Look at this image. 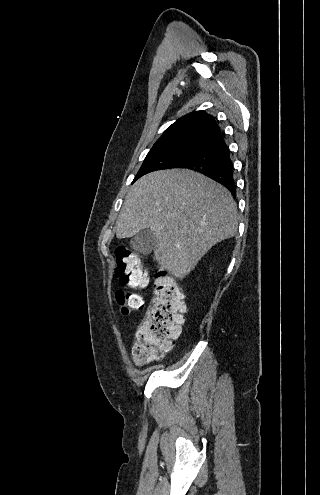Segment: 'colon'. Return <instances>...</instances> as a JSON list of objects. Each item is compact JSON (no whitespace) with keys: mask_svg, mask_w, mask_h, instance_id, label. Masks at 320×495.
Here are the masks:
<instances>
[{"mask_svg":"<svg viewBox=\"0 0 320 495\" xmlns=\"http://www.w3.org/2000/svg\"><path fill=\"white\" fill-rule=\"evenodd\" d=\"M116 261L115 274L121 285L131 289L147 286L148 275L138 254L120 246L116 250ZM116 300L124 314L144 307L143 298L135 292L119 290ZM185 310L183 293L177 282L163 272L158 273L151 305L136 331L132 347L135 365H143L171 348L172 340L181 332Z\"/></svg>","mask_w":320,"mask_h":495,"instance_id":"obj_1","label":"colon"}]
</instances>
